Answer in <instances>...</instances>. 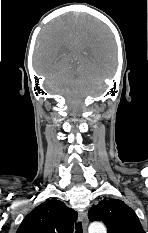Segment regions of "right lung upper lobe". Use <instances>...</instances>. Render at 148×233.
Here are the masks:
<instances>
[{
  "instance_id": "1",
  "label": "right lung upper lobe",
  "mask_w": 148,
  "mask_h": 233,
  "mask_svg": "<svg viewBox=\"0 0 148 233\" xmlns=\"http://www.w3.org/2000/svg\"><path fill=\"white\" fill-rule=\"evenodd\" d=\"M77 212L57 199L46 200L23 219L16 233H72Z\"/></svg>"
}]
</instances>
